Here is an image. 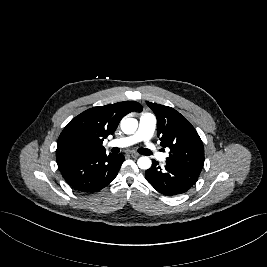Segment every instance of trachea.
I'll use <instances>...</instances> for the list:
<instances>
[{
	"mask_svg": "<svg viewBox=\"0 0 267 267\" xmlns=\"http://www.w3.org/2000/svg\"><path fill=\"white\" fill-rule=\"evenodd\" d=\"M138 151L140 154H143V155H150L151 154V152L148 149H144V148H140Z\"/></svg>",
	"mask_w": 267,
	"mask_h": 267,
	"instance_id": "1",
	"label": "trachea"
}]
</instances>
